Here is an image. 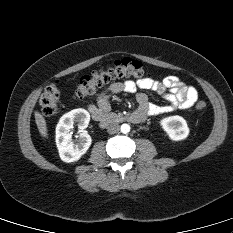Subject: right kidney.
<instances>
[{
  "label": "right kidney",
  "instance_id": "ca27d5eb",
  "mask_svg": "<svg viewBox=\"0 0 233 233\" xmlns=\"http://www.w3.org/2000/svg\"><path fill=\"white\" fill-rule=\"evenodd\" d=\"M90 114L82 108L71 110L64 114L56 126V145L62 161L70 163L80 159L89 149L92 139L91 136L83 131L88 127ZM77 123L80 129L77 142L72 141L70 129Z\"/></svg>",
  "mask_w": 233,
  "mask_h": 233
}]
</instances>
